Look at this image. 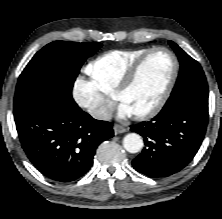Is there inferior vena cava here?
Masks as SVG:
<instances>
[{"label": "inferior vena cava", "instance_id": "inferior-vena-cava-1", "mask_svg": "<svg viewBox=\"0 0 222 219\" xmlns=\"http://www.w3.org/2000/svg\"><path fill=\"white\" fill-rule=\"evenodd\" d=\"M91 115L96 119H101V120L111 119V113L109 111H105L102 109H93L91 111Z\"/></svg>", "mask_w": 222, "mask_h": 219}]
</instances>
